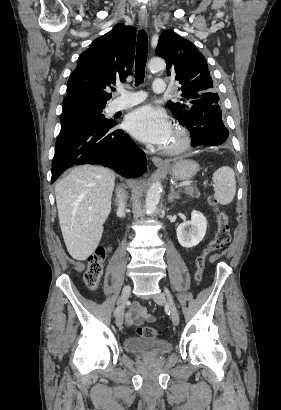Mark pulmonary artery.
<instances>
[{
  "instance_id": "1",
  "label": "pulmonary artery",
  "mask_w": 281,
  "mask_h": 410,
  "mask_svg": "<svg viewBox=\"0 0 281 410\" xmlns=\"http://www.w3.org/2000/svg\"><path fill=\"white\" fill-rule=\"evenodd\" d=\"M153 91L156 93H162L167 90L165 80L156 79L153 82ZM118 91L123 94V97L118 98L113 102V110L115 112L131 108L145 100V96L142 93H132L126 91L123 87L118 86Z\"/></svg>"
}]
</instances>
